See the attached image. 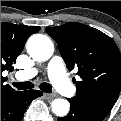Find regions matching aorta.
Wrapping results in <instances>:
<instances>
[{"label": "aorta", "instance_id": "1", "mask_svg": "<svg viewBox=\"0 0 121 121\" xmlns=\"http://www.w3.org/2000/svg\"><path fill=\"white\" fill-rule=\"evenodd\" d=\"M27 52L36 61H47L53 54L54 46L52 41L45 35L34 34L27 41ZM52 112L59 117L66 116L70 104L65 99H54L51 103Z\"/></svg>", "mask_w": 121, "mask_h": 121}]
</instances>
